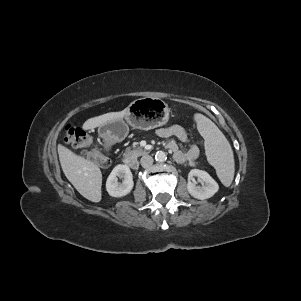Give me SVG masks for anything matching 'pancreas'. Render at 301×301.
Returning <instances> with one entry per match:
<instances>
[{
    "label": "pancreas",
    "mask_w": 301,
    "mask_h": 301,
    "mask_svg": "<svg viewBox=\"0 0 301 301\" xmlns=\"http://www.w3.org/2000/svg\"><path fill=\"white\" fill-rule=\"evenodd\" d=\"M146 154V152L141 147L133 146V149L127 148L125 150L124 156L128 158L136 159L139 156Z\"/></svg>",
    "instance_id": "1"
}]
</instances>
